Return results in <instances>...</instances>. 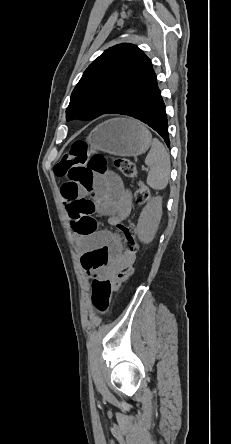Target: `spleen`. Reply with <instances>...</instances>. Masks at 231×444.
<instances>
[{
	"instance_id": "obj_1",
	"label": "spleen",
	"mask_w": 231,
	"mask_h": 444,
	"mask_svg": "<svg viewBox=\"0 0 231 444\" xmlns=\"http://www.w3.org/2000/svg\"><path fill=\"white\" fill-rule=\"evenodd\" d=\"M145 164L150 169L147 184L155 190L164 189L170 177V156L165 146L157 138L152 141V147L145 158Z\"/></svg>"
}]
</instances>
